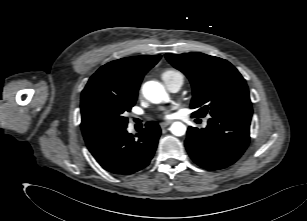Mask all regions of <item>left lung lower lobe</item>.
I'll use <instances>...</instances> for the list:
<instances>
[{"instance_id":"obj_1","label":"left lung lower lobe","mask_w":307,"mask_h":221,"mask_svg":"<svg viewBox=\"0 0 307 221\" xmlns=\"http://www.w3.org/2000/svg\"><path fill=\"white\" fill-rule=\"evenodd\" d=\"M250 122V117L215 115L206 128H188L185 147L200 167L210 171L224 169L234 164L248 147Z\"/></svg>"}]
</instances>
